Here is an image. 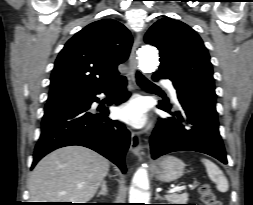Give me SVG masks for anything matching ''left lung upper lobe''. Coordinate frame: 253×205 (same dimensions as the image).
<instances>
[{"mask_svg": "<svg viewBox=\"0 0 253 205\" xmlns=\"http://www.w3.org/2000/svg\"><path fill=\"white\" fill-rule=\"evenodd\" d=\"M144 39L159 49V70L183 83L187 92L216 101L208 51L191 27L175 19L163 18L148 30Z\"/></svg>", "mask_w": 253, "mask_h": 205, "instance_id": "obj_1", "label": "left lung upper lobe"}]
</instances>
